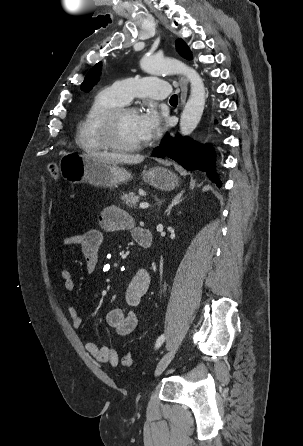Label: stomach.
<instances>
[{"label":"stomach","mask_w":303,"mask_h":446,"mask_svg":"<svg viewBox=\"0 0 303 446\" xmlns=\"http://www.w3.org/2000/svg\"><path fill=\"white\" fill-rule=\"evenodd\" d=\"M59 171L71 184L89 182L97 187H113L132 178L129 171L117 164L94 160L73 152L63 154L59 161ZM143 179L163 191L173 190L179 185L177 175L164 167L144 171Z\"/></svg>","instance_id":"obj_1"}]
</instances>
